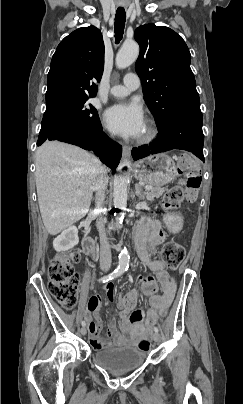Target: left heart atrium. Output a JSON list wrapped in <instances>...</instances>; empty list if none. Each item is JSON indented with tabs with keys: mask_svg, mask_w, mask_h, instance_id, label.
I'll return each mask as SVG.
<instances>
[{
	"mask_svg": "<svg viewBox=\"0 0 243 404\" xmlns=\"http://www.w3.org/2000/svg\"><path fill=\"white\" fill-rule=\"evenodd\" d=\"M103 123L110 132L130 139L142 137L146 130L143 109L136 100L109 107L103 114Z\"/></svg>",
	"mask_w": 243,
	"mask_h": 404,
	"instance_id": "left-heart-atrium-1",
	"label": "left heart atrium"
}]
</instances>
